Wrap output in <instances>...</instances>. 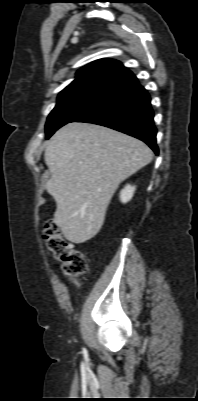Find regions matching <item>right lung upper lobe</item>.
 I'll list each match as a JSON object with an SVG mask.
<instances>
[{
    "label": "right lung upper lobe",
    "mask_w": 198,
    "mask_h": 401,
    "mask_svg": "<svg viewBox=\"0 0 198 401\" xmlns=\"http://www.w3.org/2000/svg\"><path fill=\"white\" fill-rule=\"evenodd\" d=\"M133 76L119 61L112 59L96 60L76 73V78L59 96L82 89L111 90L124 80Z\"/></svg>",
    "instance_id": "1"
}]
</instances>
